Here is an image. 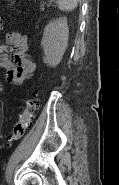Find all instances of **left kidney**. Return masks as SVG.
<instances>
[{"label": "left kidney", "instance_id": "5707ae66", "mask_svg": "<svg viewBox=\"0 0 119 185\" xmlns=\"http://www.w3.org/2000/svg\"><path fill=\"white\" fill-rule=\"evenodd\" d=\"M68 35L69 28L65 17L51 20L46 25L41 41L44 63L50 67L60 63L68 45Z\"/></svg>", "mask_w": 119, "mask_h": 185}]
</instances>
